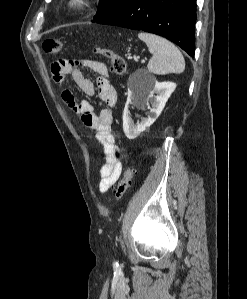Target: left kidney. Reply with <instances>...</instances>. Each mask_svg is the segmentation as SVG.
Returning a JSON list of instances; mask_svg holds the SVG:
<instances>
[{"label":"left kidney","mask_w":247,"mask_h":299,"mask_svg":"<svg viewBox=\"0 0 247 299\" xmlns=\"http://www.w3.org/2000/svg\"><path fill=\"white\" fill-rule=\"evenodd\" d=\"M175 88L176 84L173 82L156 81L147 92H140L135 89L128 91V105L139 107L147 106L150 110L148 118L143 119L140 123L134 124L132 118L129 116L128 106L124 109L123 131L128 139H135L156 121Z\"/></svg>","instance_id":"left-kidney-1"}]
</instances>
